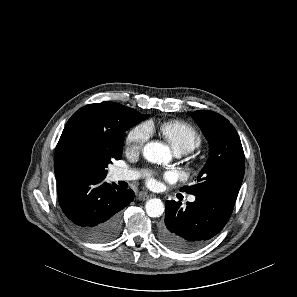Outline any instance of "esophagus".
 Instances as JSON below:
<instances>
[{
    "label": "esophagus",
    "instance_id": "obj_1",
    "mask_svg": "<svg viewBox=\"0 0 297 297\" xmlns=\"http://www.w3.org/2000/svg\"><path fill=\"white\" fill-rule=\"evenodd\" d=\"M150 197H151L150 195H148L146 193H142V192H140L136 195V199L139 201H145V200L149 199Z\"/></svg>",
    "mask_w": 297,
    "mask_h": 297
}]
</instances>
